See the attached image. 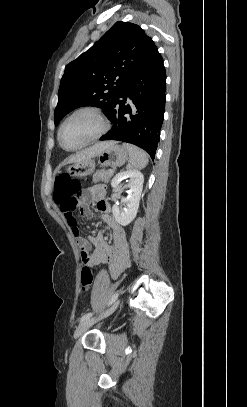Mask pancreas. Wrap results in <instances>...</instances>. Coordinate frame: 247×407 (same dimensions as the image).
Masks as SVG:
<instances>
[{
  "label": "pancreas",
  "instance_id": "pancreas-1",
  "mask_svg": "<svg viewBox=\"0 0 247 407\" xmlns=\"http://www.w3.org/2000/svg\"><path fill=\"white\" fill-rule=\"evenodd\" d=\"M113 176V170H98L93 174V182H105L108 183Z\"/></svg>",
  "mask_w": 247,
  "mask_h": 407
}]
</instances>
